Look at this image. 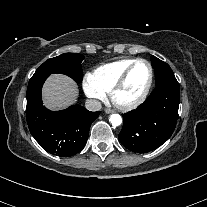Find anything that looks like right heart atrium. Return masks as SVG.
<instances>
[{
	"mask_svg": "<svg viewBox=\"0 0 207 207\" xmlns=\"http://www.w3.org/2000/svg\"><path fill=\"white\" fill-rule=\"evenodd\" d=\"M83 88L87 95L92 99L102 100L105 97V92L95 83L90 75H87L83 80Z\"/></svg>",
	"mask_w": 207,
	"mask_h": 207,
	"instance_id": "obj_1",
	"label": "right heart atrium"
}]
</instances>
